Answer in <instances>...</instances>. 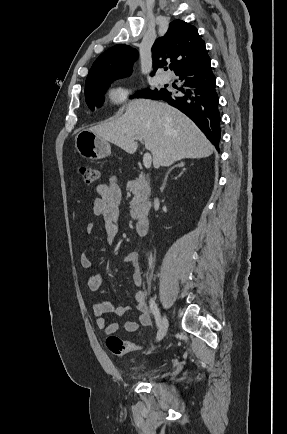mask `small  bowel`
Masks as SVG:
<instances>
[{
    "label": "small bowel",
    "instance_id": "c3829d8e",
    "mask_svg": "<svg viewBox=\"0 0 287 434\" xmlns=\"http://www.w3.org/2000/svg\"><path fill=\"white\" fill-rule=\"evenodd\" d=\"M98 197L94 200L92 213L96 217H101L104 221V243L111 245L120 233L119 215H120V188L116 183L115 177L109 179L107 184H99L96 187ZM95 231V226L90 223L86 226V233L92 235ZM80 266L84 269H92L93 263L90 258L82 254L80 256ZM123 262L133 267L132 281L136 287H141L143 283V275L140 267L139 255L136 252H129L125 255ZM104 279V274L101 272H93L87 279V286L90 290H97ZM136 309L138 311V320H127L124 323V328L128 333H134L140 326H149L151 324V316L146 302V294L142 290L135 293ZM130 306L120 305L114 301L92 302V313L97 316V325L105 334L110 335L118 331L119 324L114 321H109L103 316L113 314L123 316Z\"/></svg>",
    "mask_w": 287,
    "mask_h": 434
}]
</instances>
